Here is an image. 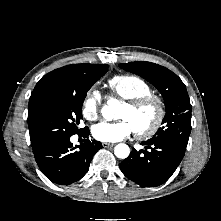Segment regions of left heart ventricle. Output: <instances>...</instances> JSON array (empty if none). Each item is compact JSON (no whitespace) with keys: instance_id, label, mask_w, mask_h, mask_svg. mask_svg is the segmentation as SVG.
Wrapping results in <instances>:
<instances>
[{"instance_id":"obj_1","label":"left heart ventricle","mask_w":221,"mask_h":221,"mask_svg":"<svg viewBox=\"0 0 221 221\" xmlns=\"http://www.w3.org/2000/svg\"><path fill=\"white\" fill-rule=\"evenodd\" d=\"M155 113L153 106H147L140 111H132L129 107L123 105L118 111V117L128 120L135 130L148 127L152 123Z\"/></svg>"}]
</instances>
